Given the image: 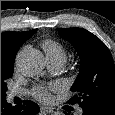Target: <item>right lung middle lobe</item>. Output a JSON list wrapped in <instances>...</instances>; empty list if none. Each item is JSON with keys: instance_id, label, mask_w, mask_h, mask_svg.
Here are the masks:
<instances>
[{"instance_id": "dd1d6c3e", "label": "right lung middle lobe", "mask_w": 115, "mask_h": 115, "mask_svg": "<svg viewBox=\"0 0 115 115\" xmlns=\"http://www.w3.org/2000/svg\"><path fill=\"white\" fill-rule=\"evenodd\" d=\"M12 74H7V75H1V99L6 98V83L5 81L9 78H11Z\"/></svg>"}]
</instances>
